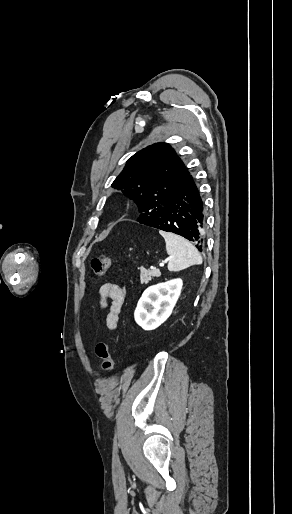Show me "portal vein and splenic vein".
<instances>
[{
	"instance_id": "18ae733b",
	"label": "portal vein and splenic vein",
	"mask_w": 292,
	"mask_h": 514,
	"mask_svg": "<svg viewBox=\"0 0 292 514\" xmlns=\"http://www.w3.org/2000/svg\"><path fill=\"white\" fill-rule=\"evenodd\" d=\"M167 260H165V262H162V264H159V266H164V264H166ZM159 272V270H158Z\"/></svg>"
}]
</instances>
